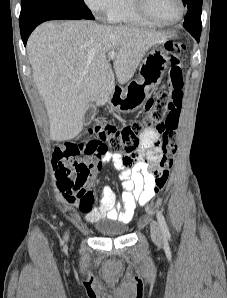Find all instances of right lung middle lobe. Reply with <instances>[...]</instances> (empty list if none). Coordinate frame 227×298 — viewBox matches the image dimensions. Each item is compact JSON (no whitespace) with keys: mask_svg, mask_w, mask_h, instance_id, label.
I'll return each instance as SVG.
<instances>
[{"mask_svg":"<svg viewBox=\"0 0 227 298\" xmlns=\"http://www.w3.org/2000/svg\"><path fill=\"white\" fill-rule=\"evenodd\" d=\"M50 14L94 19L83 0H21L20 28L40 16Z\"/></svg>","mask_w":227,"mask_h":298,"instance_id":"right-lung-middle-lobe-1","label":"right lung middle lobe"}]
</instances>
